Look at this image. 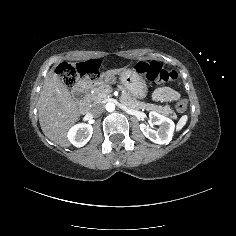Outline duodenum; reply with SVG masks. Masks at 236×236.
Segmentation results:
<instances>
[{"mask_svg":"<svg viewBox=\"0 0 236 236\" xmlns=\"http://www.w3.org/2000/svg\"><path fill=\"white\" fill-rule=\"evenodd\" d=\"M96 81H97L96 78L87 77L80 80L74 87L73 95L77 102L78 111L81 114H85L88 111L86 93Z\"/></svg>","mask_w":236,"mask_h":236,"instance_id":"duodenum-1","label":"duodenum"}]
</instances>
